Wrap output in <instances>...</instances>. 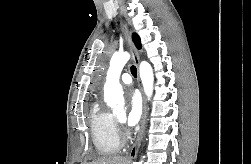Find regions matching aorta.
Returning a JSON list of instances; mask_svg holds the SVG:
<instances>
[{"instance_id": "1", "label": "aorta", "mask_w": 251, "mask_h": 164, "mask_svg": "<svg viewBox=\"0 0 251 164\" xmlns=\"http://www.w3.org/2000/svg\"><path fill=\"white\" fill-rule=\"evenodd\" d=\"M130 59L127 52L115 53L110 60V67L107 71L106 82L104 85V99L108 106L115 109L124 107V93L120 84V75L123 67ZM139 75L143 84L144 92L148 99L153 93L154 74L151 65L142 61L139 65ZM134 164H142V161Z\"/></svg>"}]
</instances>
